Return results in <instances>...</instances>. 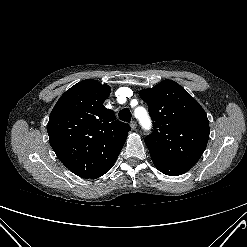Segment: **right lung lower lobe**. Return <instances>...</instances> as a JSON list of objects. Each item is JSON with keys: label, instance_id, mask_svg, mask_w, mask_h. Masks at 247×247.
I'll return each mask as SVG.
<instances>
[{"label": "right lung lower lobe", "instance_id": "98d812e1", "mask_svg": "<svg viewBox=\"0 0 247 247\" xmlns=\"http://www.w3.org/2000/svg\"><path fill=\"white\" fill-rule=\"evenodd\" d=\"M111 169V166L109 168H107L106 170H104L102 173H100L99 175H97L95 178H98L102 175H104L107 171H109Z\"/></svg>", "mask_w": 247, "mask_h": 247}]
</instances>
